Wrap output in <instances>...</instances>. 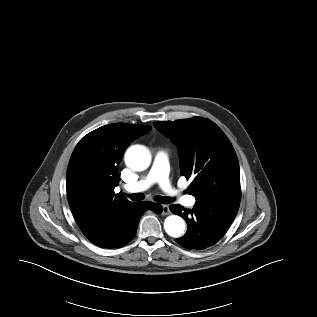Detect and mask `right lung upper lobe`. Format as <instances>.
I'll list each match as a JSON object with an SVG mask.
<instances>
[{"mask_svg": "<svg viewBox=\"0 0 317 317\" xmlns=\"http://www.w3.org/2000/svg\"><path fill=\"white\" fill-rule=\"evenodd\" d=\"M151 127L109 124L84 136L76 145L67 167V196L74 215L89 207L112 213L130 204L114 193L120 178L118 164L127 146Z\"/></svg>", "mask_w": 317, "mask_h": 317, "instance_id": "obj_1", "label": "right lung upper lobe"}]
</instances>
